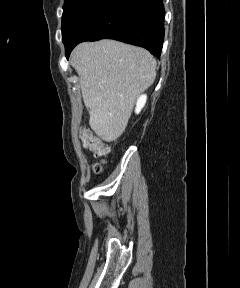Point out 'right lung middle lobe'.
I'll return each mask as SVG.
<instances>
[{
	"label": "right lung middle lobe",
	"instance_id": "1",
	"mask_svg": "<svg viewBox=\"0 0 240 288\" xmlns=\"http://www.w3.org/2000/svg\"><path fill=\"white\" fill-rule=\"evenodd\" d=\"M115 1L65 0L62 15V40L65 48L77 44Z\"/></svg>",
	"mask_w": 240,
	"mask_h": 288
}]
</instances>
